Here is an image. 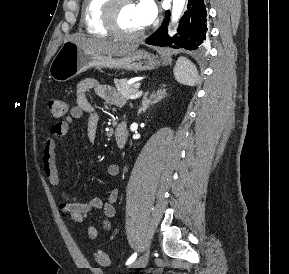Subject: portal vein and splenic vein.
Instances as JSON below:
<instances>
[{
    "instance_id": "obj_1",
    "label": "portal vein and splenic vein",
    "mask_w": 289,
    "mask_h": 274,
    "mask_svg": "<svg viewBox=\"0 0 289 274\" xmlns=\"http://www.w3.org/2000/svg\"><path fill=\"white\" fill-rule=\"evenodd\" d=\"M142 93H143L142 91L136 92V93L132 94L129 98L131 100L137 99V98H139L142 95Z\"/></svg>"
}]
</instances>
